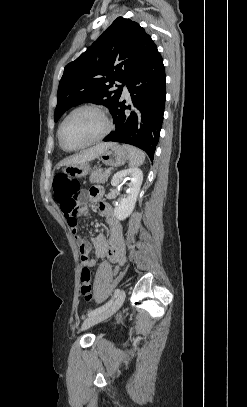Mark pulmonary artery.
I'll list each match as a JSON object with an SVG mask.
<instances>
[{"label":"pulmonary artery","instance_id":"1","mask_svg":"<svg viewBox=\"0 0 247 407\" xmlns=\"http://www.w3.org/2000/svg\"><path fill=\"white\" fill-rule=\"evenodd\" d=\"M123 94H124V96H126V97L129 96V91H128V89H127L126 86H124V88H123Z\"/></svg>","mask_w":247,"mask_h":407}]
</instances>
